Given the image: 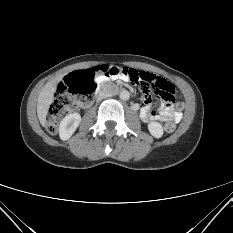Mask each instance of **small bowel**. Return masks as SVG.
I'll list each match as a JSON object with an SVG mask.
<instances>
[{
    "instance_id": "c3829d8e",
    "label": "small bowel",
    "mask_w": 233,
    "mask_h": 233,
    "mask_svg": "<svg viewBox=\"0 0 233 233\" xmlns=\"http://www.w3.org/2000/svg\"><path fill=\"white\" fill-rule=\"evenodd\" d=\"M146 74H148L149 76H154L151 73H146ZM140 117L144 122L162 121V122L174 124L180 121L181 113L177 110H174L169 102L161 104L156 109H152L150 100L148 99L147 96H145L143 99V103L140 107Z\"/></svg>"
}]
</instances>
